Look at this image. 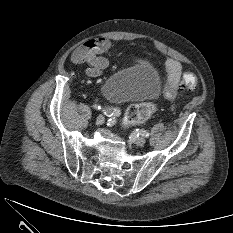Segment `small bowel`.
Listing matches in <instances>:
<instances>
[{"mask_svg": "<svg viewBox=\"0 0 233 233\" xmlns=\"http://www.w3.org/2000/svg\"><path fill=\"white\" fill-rule=\"evenodd\" d=\"M90 46L94 47L93 54L89 52ZM110 46V42L105 38L90 40L73 52L71 61L74 64L86 63L88 65L86 70L87 75L98 77L108 66V60L102 54L109 50ZM165 68L167 71V82L164 88V96L172 100L176 97L182 80V65L173 58H167Z\"/></svg>", "mask_w": 233, "mask_h": 233, "instance_id": "obj_1", "label": "small bowel"}]
</instances>
